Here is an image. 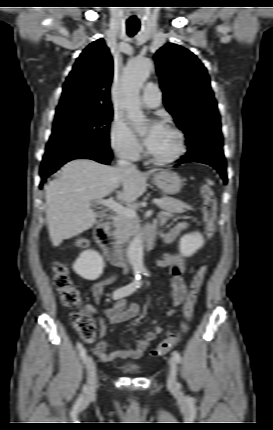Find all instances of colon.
<instances>
[{"label":"colon","instance_id":"obj_1","mask_svg":"<svg viewBox=\"0 0 273 430\" xmlns=\"http://www.w3.org/2000/svg\"><path fill=\"white\" fill-rule=\"evenodd\" d=\"M200 190L203 199L202 218L205 224V231L207 236L212 238L215 233L217 201L214 191L209 185L203 184ZM75 244L78 247H82L85 245V241L78 239ZM52 270L54 273V285L60 294L63 304L67 307L76 308L72 314V323L75 330L86 342L93 341L97 328L92 316V311L88 307L82 306L80 290L73 284L67 265L61 261H54L52 263ZM206 273L207 265L204 264L199 267L190 284L187 299L183 306V315L187 322L193 317L195 304ZM179 339L178 333H170L166 339L153 349L152 355L162 356L168 353L177 345Z\"/></svg>","mask_w":273,"mask_h":430}]
</instances>
